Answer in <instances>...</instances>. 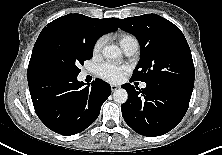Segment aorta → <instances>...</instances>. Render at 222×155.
Wrapping results in <instances>:
<instances>
[{
  "mask_svg": "<svg viewBox=\"0 0 222 155\" xmlns=\"http://www.w3.org/2000/svg\"><path fill=\"white\" fill-rule=\"evenodd\" d=\"M102 53L105 58L110 60H114L121 57V50L116 45H110L104 47ZM113 99L116 103L119 104L125 103L128 99L127 91L122 88L115 90L113 93Z\"/></svg>",
  "mask_w": 222,
  "mask_h": 155,
  "instance_id": "obj_1",
  "label": "aorta"
}]
</instances>
